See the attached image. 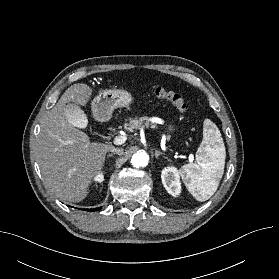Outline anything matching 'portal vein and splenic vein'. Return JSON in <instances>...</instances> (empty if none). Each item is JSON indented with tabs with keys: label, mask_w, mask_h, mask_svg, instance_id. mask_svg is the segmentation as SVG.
Returning <instances> with one entry per match:
<instances>
[{
	"label": "portal vein and splenic vein",
	"mask_w": 279,
	"mask_h": 279,
	"mask_svg": "<svg viewBox=\"0 0 279 279\" xmlns=\"http://www.w3.org/2000/svg\"><path fill=\"white\" fill-rule=\"evenodd\" d=\"M127 140V137L125 135H118L114 138L113 143L115 145H121ZM190 161H192V157L189 158Z\"/></svg>",
	"instance_id": "portal-vein-and-splenic-vein-1"
}]
</instances>
